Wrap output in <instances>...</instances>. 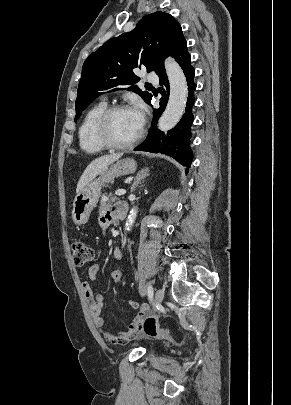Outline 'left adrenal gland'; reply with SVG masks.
<instances>
[{
    "mask_svg": "<svg viewBox=\"0 0 291 405\" xmlns=\"http://www.w3.org/2000/svg\"><path fill=\"white\" fill-rule=\"evenodd\" d=\"M149 176V168H143L141 169L137 175L136 178L131 186V192H134L137 188V186L140 184L141 180Z\"/></svg>",
    "mask_w": 291,
    "mask_h": 405,
    "instance_id": "a2214340",
    "label": "left adrenal gland"
}]
</instances>
